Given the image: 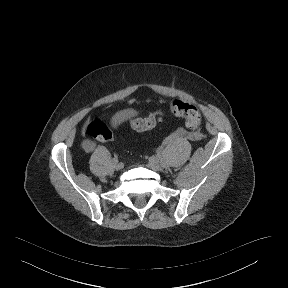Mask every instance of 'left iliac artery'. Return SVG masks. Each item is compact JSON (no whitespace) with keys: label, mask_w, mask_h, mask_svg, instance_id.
I'll return each mask as SVG.
<instances>
[{"label":"left iliac artery","mask_w":288,"mask_h":288,"mask_svg":"<svg viewBox=\"0 0 288 288\" xmlns=\"http://www.w3.org/2000/svg\"><path fill=\"white\" fill-rule=\"evenodd\" d=\"M161 154L160 153H157L156 154V158H160Z\"/></svg>","instance_id":"obj_1"}]
</instances>
